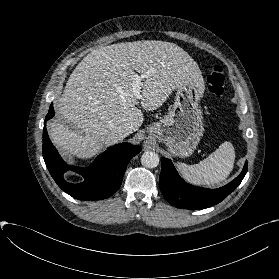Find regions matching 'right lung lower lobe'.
Instances as JSON below:
<instances>
[{"label":"right lung lower lobe","instance_id":"right-lung-lower-lobe-1","mask_svg":"<svg viewBox=\"0 0 279 279\" xmlns=\"http://www.w3.org/2000/svg\"><path fill=\"white\" fill-rule=\"evenodd\" d=\"M54 116L53 104L45 120ZM43 129V158L45 164L57 185L70 196L79 200H101L115 193L123 179L127 164L141 151L136 145L120 143L109 147L99 155L90 168L71 167L66 165L51 143L46 130ZM71 169L80 174L84 181L78 184L68 183L63 173Z\"/></svg>","mask_w":279,"mask_h":279}]
</instances>
